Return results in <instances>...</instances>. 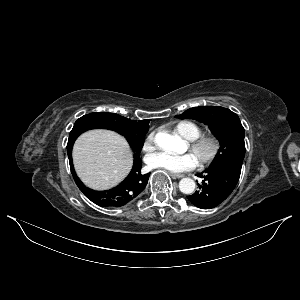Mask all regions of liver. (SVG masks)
I'll return each mask as SVG.
<instances>
[{
    "label": "liver",
    "instance_id": "6515ba94",
    "mask_svg": "<svg viewBox=\"0 0 300 300\" xmlns=\"http://www.w3.org/2000/svg\"><path fill=\"white\" fill-rule=\"evenodd\" d=\"M72 155L77 175L95 190L119 184L133 164L132 152L124 137L109 130L83 133L76 140Z\"/></svg>",
    "mask_w": 300,
    "mask_h": 300
}]
</instances>
